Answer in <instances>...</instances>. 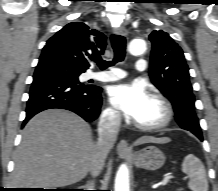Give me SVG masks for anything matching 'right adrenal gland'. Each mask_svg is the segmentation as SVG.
Listing matches in <instances>:
<instances>
[{"mask_svg": "<svg viewBox=\"0 0 218 191\" xmlns=\"http://www.w3.org/2000/svg\"><path fill=\"white\" fill-rule=\"evenodd\" d=\"M95 182L94 180L89 181L84 187L85 190H94Z\"/></svg>", "mask_w": 218, "mask_h": 191, "instance_id": "right-adrenal-gland-1", "label": "right adrenal gland"}]
</instances>
